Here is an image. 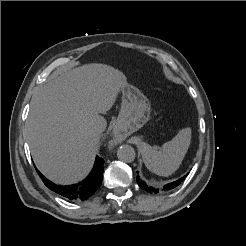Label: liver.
<instances>
[{
	"label": "liver",
	"instance_id": "liver-1",
	"mask_svg": "<svg viewBox=\"0 0 246 246\" xmlns=\"http://www.w3.org/2000/svg\"><path fill=\"white\" fill-rule=\"evenodd\" d=\"M127 85L125 75L103 64H88L51 78L33 95L26 135L38 169L59 184L83 179L99 148L95 126Z\"/></svg>",
	"mask_w": 246,
	"mask_h": 246
}]
</instances>
